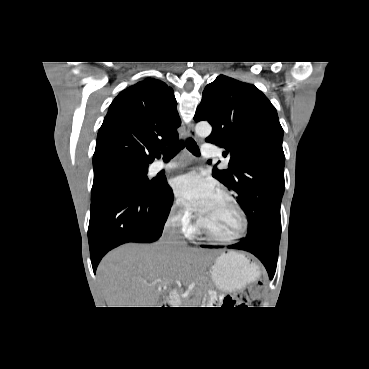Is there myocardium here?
Listing matches in <instances>:
<instances>
[{
  "mask_svg": "<svg viewBox=\"0 0 369 369\" xmlns=\"http://www.w3.org/2000/svg\"><path fill=\"white\" fill-rule=\"evenodd\" d=\"M217 194L222 196L226 200H228L234 206V208L237 210V212L240 216V220H241V227H240L239 233L237 235L231 236V237L220 236V235L212 232L208 228H206L204 226V224L202 223L201 218H199L198 221H197L198 230L201 233H203L204 235H206L208 238L216 240V241H220V242L232 243V242H236V241H239V240L243 239L247 235V232H248V219H247V215H246L244 209L239 204V202L229 192H227L225 190H219V191H217Z\"/></svg>",
  "mask_w": 369,
  "mask_h": 369,
  "instance_id": "obj_1",
  "label": "myocardium"
}]
</instances>
